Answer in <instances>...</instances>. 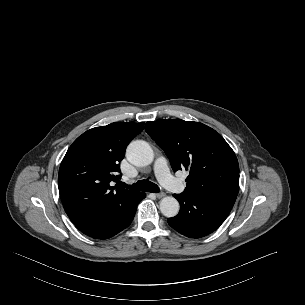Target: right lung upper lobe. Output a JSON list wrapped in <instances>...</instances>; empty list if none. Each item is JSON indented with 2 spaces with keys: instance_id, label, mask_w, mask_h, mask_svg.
I'll return each mask as SVG.
<instances>
[{
  "instance_id": "cb5924a9",
  "label": "right lung upper lobe",
  "mask_w": 305,
  "mask_h": 305,
  "mask_svg": "<svg viewBox=\"0 0 305 305\" xmlns=\"http://www.w3.org/2000/svg\"><path fill=\"white\" fill-rule=\"evenodd\" d=\"M143 128L144 123H111L86 131L69 147L60 165L58 187L74 224L106 214L137 193L112 187L110 182L120 179L119 162Z\"/></svg>"
}]
</instances>
